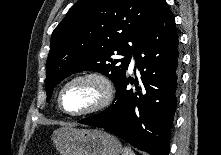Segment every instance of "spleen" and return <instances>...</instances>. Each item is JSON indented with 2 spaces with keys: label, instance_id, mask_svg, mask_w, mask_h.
I'll use <instances>...</instances> for the list:
<instances>
[{
  "label": "spleen",
  "instance_id": "spleen-1",
  "mask_svg": "<svg viewBox=\"0 0 221 155\" xmlns=\"http://www.w3.org/2000/svg\"><path fill=\"white\" fill-rule=\"evenodd\" d=\"M123 155H135V153L133 152L131 148L125 147L123 150Z\"/></svg>",
  "mask_w": 221,
  "mask_h": 155
}]
</instances>
